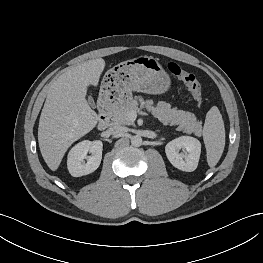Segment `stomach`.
<instances>
[{"label": "stomach", "instance_id": "stomach-1", "mask_svg": "<svg viewBox=\"0 0 263 263\" xmlns=\"http://www.w3.org/2000/svg\"><path fill=\"white\" fill-rule=\"evenodd\" d=\"M170 84V77L158 59L140 56L108 70L102 80L100 95L126 105L133 91L162 94L169 89Z\"/></svg>", "mask_w": 263, "mask_h": 263}]
</instances>
